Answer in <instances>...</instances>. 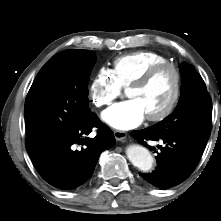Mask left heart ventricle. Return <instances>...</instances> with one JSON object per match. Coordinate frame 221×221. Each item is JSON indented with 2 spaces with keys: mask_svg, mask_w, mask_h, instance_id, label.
Returning a JSON list of instances; mask_svg holds the SVG:
<instances>
[{
  "mask_svg": "<svg viewBox=\"0 0 221 221\" xmlns=\"http://www.w3.org/2000/svg\"><path fill=\"white\" fill-rule=\"evenodd\" d=\"M174 73L164 69L143 88H129L126 95L137 99L146 116L161 112L169 103L174 91Z\"/></svg>",
  "mask_w": 221,
  "mask_h": 221,
  "instance_id": "obj_1",
  "label": "left heart ventricle"
}]
</instances>
